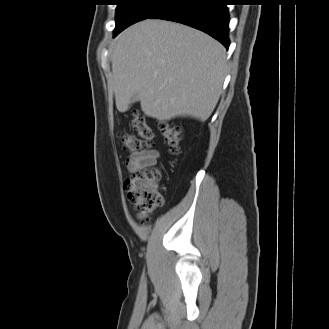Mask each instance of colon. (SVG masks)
<instances>
[{
  "label": "colon",
  "instance_id": "1",
  "mask_svg": "<svg viewBox=\"0 0 329 329\" xmlns=\"http://www.w3.org/2000/svg\"><path fill=\"white\" fill-rule=\"evenodd\" d=\"M130 124L137 129L138 136L122 134L120 139L124 149L131 152H140L152 145L154 130L143 116L133 112ZM160 131L164 142L174 154L180 151V128L172 122H162ZM160 178V171L156 168L136 170L124 183L128 199L143 212H151L163 204L162 197L157 190L156 183Z\"/></svg>",
  "mask_w": 329,
  "mask_h": 329
}]
</instances>
